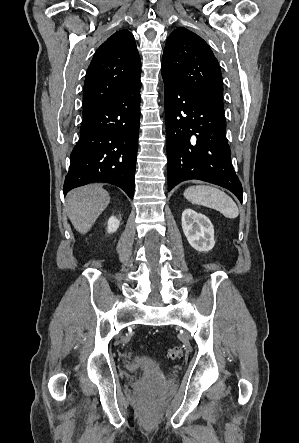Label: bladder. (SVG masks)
Segmentation results:
<instances>
[{"instance_id":"bladder-1","label":"bladder","mask_w":299,"mask_h":443,"mask_svg":"<svg viewBox=\"0 0 299 443\" xmlns=\"http://www.w3.org/2000/svg\"><path fill=\"white\" fill-rule=\"evenodd\" d=\"M139 367L146 368L148 370L147 374L150 378L154 380L162 379L163 374L157 370L153 362L149 359L139 358L133 361L130 365V369L134 370Z\"/></svg>"}]
</instances>
